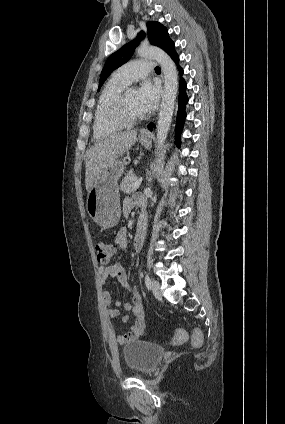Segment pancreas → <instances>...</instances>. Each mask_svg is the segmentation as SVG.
Listing matches in <instances>:
<instances>
[{"label": "pancreas", "mask_w": 285, "mask_h": 424, "mask_svg": "<svg viewBox=\"0 0 285 424\" xmlns=\"http://www.w3.org/2000/svg\"><path fill=\"white\" fill-rule=\"evenodd\" d=\"M137 180L136 176L132 171L127 173L120 183V190L126 194L132 193L135 189L133 184Z\"/></svg>", "instance_id": "1"}]
</instances>
